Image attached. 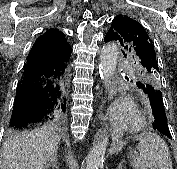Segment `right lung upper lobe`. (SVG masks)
<instances>
[{"mask_svg":"<svg viewBox=\"0 0 177 169\" xmlns=\"http://www.w3.org/2000/svg\"><path fill=\"white\" fill-rule=\"evenodd\" d=\"M71 53L72 49L65 39V35L61 31L51 28L36 39L29 55L39 56L46 60L67 62Z\"/></svg>","mask_w":177,"mask_h":169,"instance_id":"right-lung-upper-lobe-1","label":"right lung upper lobe"}]
</instances>
